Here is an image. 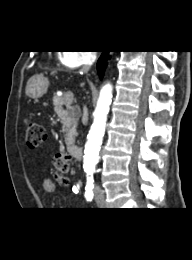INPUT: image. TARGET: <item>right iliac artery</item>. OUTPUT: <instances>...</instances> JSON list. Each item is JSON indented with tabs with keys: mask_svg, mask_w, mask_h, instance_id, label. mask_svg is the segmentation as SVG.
I'll return each mask as SVG.
<instances>
[{
	"mask_svg": "<svg viewBox=\"0 0 192 260\" xmlns=\"http://www.w3.org/2000/svg\"><path fill=\"white\" fill-rule=\"evenodd\" d=\"M93 187H86V191H85V198L87 201H92L93 199Z\"/></svg>",
	"mask_w": 192,
	"mask_h": 260,
	"instance_id": "right-iliac-artery-1",
	"label": "right iliac artery"
}]
</instances>
